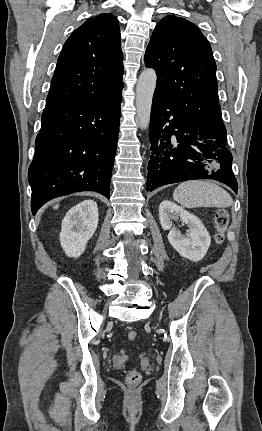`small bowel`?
<instances>
[{
    "label": "small bowel",
    "instance_id": "obj_1",
    "mask_svg": "<svg viewBox=\"0 0 262 431\" xmlns=\"http://www.w3.org/2000/svg\"><path fill=\"white\" fill-rule=\"evenodd\" d=\"M118 360V357H114V361H117Z\"/></svg>",
    "mask_w": 262,
    "mask_h": 431
}]
</instances>
